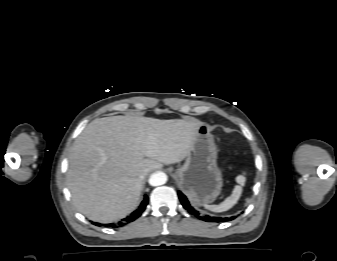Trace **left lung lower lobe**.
Returning <instances> with one entry per match:
<instances>
[{
    "mask_svg": "<svg viewBox=\"0 0 337 261\" xmlns=\"http://www.w3.org/2000/svg\"><path fill=\"white\" fill-rule=\"evenodd\" d=\"M179 195V199L183 205V207L192 215L207 221V222H221V221H229L232 220L233 218H221V217H211L209 215H205V216H200V213L198 211H196L190 204L189 201L187 200V198L185 197V195L183 193H181L180 191L178 192Z\"/></svg>",
    "mask_w": 337,
    "mask_h": 261,
    "instance_id": "left-lung-lower-lobe-1",
    "label": "left lung lower lobe"
}]
</instances>
